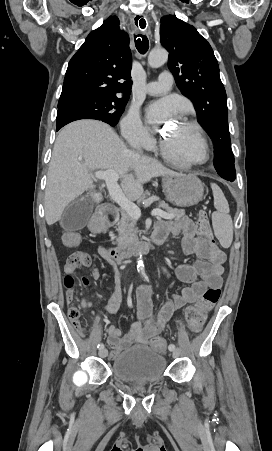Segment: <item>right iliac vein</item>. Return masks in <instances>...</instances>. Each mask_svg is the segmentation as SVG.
Masks as SVG:
<instances>
[{"label": "right iliac vein", "mask_w": 272, "mask_h": 451, "mask_svg": "<svg viewBox=\"0 0 272 451\" xmlns=\"http://www.w3.org/2000/svg\"><path fill=\"white\" fill-rule=\"evenodd\" d=\"M107 354H108V351H107L106 348H103V349L99 350V356L100 357L105 358L107 356Z\"/></svg>", "instance_id": "1"}]
</instances>
